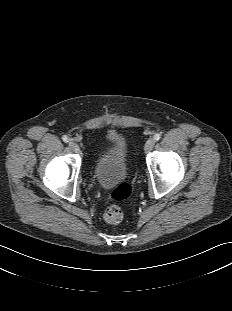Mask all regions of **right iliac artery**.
Segmentation results:
<instances>
[{
  "instance_id": "obj_1",
  "label": "right iliac artery",
  "mask_w": 232,
  "mask_h": 311,
  "mask_svg": "<svg viewBox=\"0 0 232 311\" xmlns=\"http://www.w3.org/2000/svg\"><path fill=\"white\" fill-rule=\"evenodd\" d=\"M62 140L64 141V142H69V138H68V136H66V135H64L63 137H62Z\"/></svg>"
}]
</instances>
